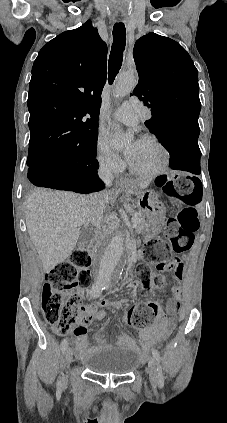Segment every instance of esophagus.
<instances>
[{"mask_svg": "<svg viewBox=\"0 0 227 423\" xmlns=\"http://www.w3.org/2000/svg\"><path fill=\"white\" fill-rule=\"evenodd\" d=\"M125 181H127V180L125 178L121 177V176L117 177L116 180H115L116 184H122Z\"/></svg>", "mask_w": 227, "mask_h": 423, "instance_id": "esophagus-1", "label": "esophagus"}]
</instances>
